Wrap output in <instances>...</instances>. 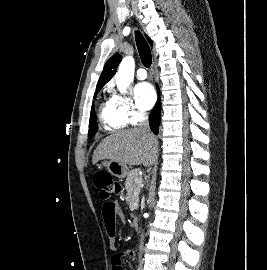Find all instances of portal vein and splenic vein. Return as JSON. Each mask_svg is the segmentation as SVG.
Returning a JSON list of instances; mask_svg holds the SVG:
<instances>
[{"label": "portal vein and splenic vein", "mask_w": 267, "mask_h": 270, "mask_svg": "<svg viewBox=\"0 0 267 270\" xmlns=\"http://www.w3.org/2000/svg\"><path fill=\"white\" fill-rule=\"evenodd\" d=\"M141 181H142V178L141 177L135 179V182H137V183H141Z\"/></svg>", "instance_id": "18ae733b"}]
</instances>
